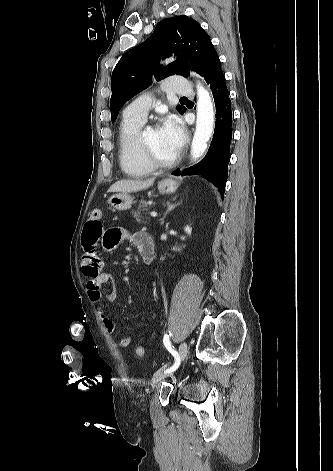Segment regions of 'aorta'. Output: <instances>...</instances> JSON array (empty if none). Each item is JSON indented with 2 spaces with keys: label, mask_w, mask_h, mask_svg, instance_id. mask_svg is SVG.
<instances>
[{
  "label": "aorta",
  "mask_w": 333,
  "mask_h": 471,
  "mask_svg": "<svg viewBox=\"0 0 333 471\" xmlns=\"http://www.w3.org/2000/svg\"><path fill=\"white\" fill-rule=\"evenodd\" d=\"M197 94L196 131L191 144V159L194 161L204 153L214 124V110L209 93L198 86Z\"/></svg>",
  "instance_id": "1"
}]
</instances>
